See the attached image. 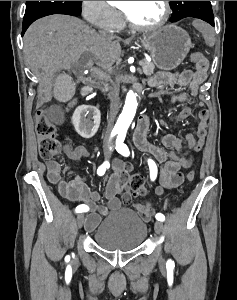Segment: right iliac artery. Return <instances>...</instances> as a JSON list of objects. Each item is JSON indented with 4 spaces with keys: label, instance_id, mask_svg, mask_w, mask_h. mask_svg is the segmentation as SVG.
Masks as SVG:
<instances>
[{
    "label": "right iliac artery",
    "instance_id": "82829eb1",
    "mask_svg": "<svg viewBox=\"0 0 237 300\" xmlns=\"http://www.w3.org/2000/svg\"><path fill=\"white\" fill-rule=\"evenodd\" d=\"M115 134H117V132L112 133L111 136H114ZM110 167V164L108 161H105L101 166H99V168L97 169V174L99 176L104 175L105 171L107 168ZM89 210V207L85 204H81L79 206L76 207V213H82V212H87ZM67 259H69V256H66Z\"/></svg>",
    "mask_w": 237,
    "mask_h": 300
}]
</instances>
